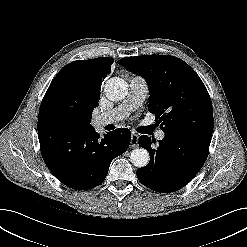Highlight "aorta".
I'll return each instance as SVG.
<instances>
[{
	"label": "aorta",
	"instance_id": "aorta-1",
	"mask_svg": "<svg viewBox=\"0 0 247 247\" xmlns=\"http://www.w3.org/2000/svg\"><path fill=\"white\" fill-rule=\"evenodd\" d=\"M104 91L109 100L120 101L127 96L128 85L123 79L113 77L107 80ZM130 159L134 166L141 168L149 163L150 155L146 149L137 148L131 152Z\"/></svg>",
	"mask_w": 247,
	"mask_h": 247
}]
</instances>
